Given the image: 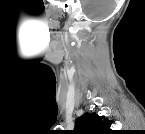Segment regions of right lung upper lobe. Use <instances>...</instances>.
<instances>
[{
	"label": "right lung upper lobe",
	"instance_id": "cb5924a9",
	"mask_svg": "<svg viewBox=\"0 0 145 134\" xmlns=\"http://www.w3.org/2000/svg\"><path fill=\"white\" fill-rule=\"evenodd\" d=\"M111 120L96 113H84L75 122V134H113Z\"/></svg>",
	"mask_w": 145,
	"mask_h": 134
}]
</instances>
